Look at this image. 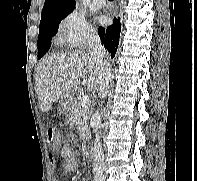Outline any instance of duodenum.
<instances>
[{"label": "duodenum", "instance_id": "obj_1", "mask_svg": "<svg viewBox=\"0 0 197 181\" xmlns=\"http://www.w3.org/2000/svg\"><path fill=\"white\" fill-rule=\"evenodd\" d=\"M85 150H86V152H87L88 154H91V152H92V148L89 147V146H87V147L85 148Z\"/></svg>", "mask_w": 197, "mask_h": 181}]
</instances>
